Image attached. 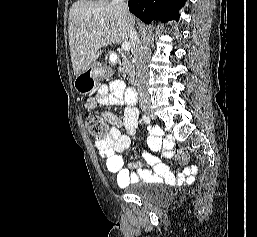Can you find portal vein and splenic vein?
Masks as SVG:
<instances>
[{"instance_id":"1","label":"portal vein and splenic vein","mask_w":257,"mask_h":237,"mask_svg":"<svg viewBox=\"0 0 257 237\" xmlns=\"http://www.w3.org/2000/svg\"><path fill=\"white\" fill-rule=\"evenodd\" d=\"M93 33H96V31H93ZM121 48L123 51H129L131 48L130 43L129 42L122 43Z\"/></svg>"}]
</instances>
